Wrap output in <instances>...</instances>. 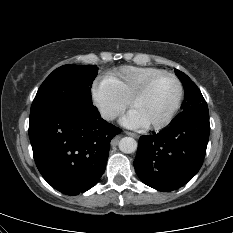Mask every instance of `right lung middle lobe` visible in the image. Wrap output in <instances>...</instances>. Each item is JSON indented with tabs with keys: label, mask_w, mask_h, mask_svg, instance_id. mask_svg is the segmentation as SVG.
<instances>
[{
	"label": "right lung middle lobe",
	"mask_w": 233,
	"mask_h": 233,
	"mask_svg": "<svg viewBox=\"0 0 233 233\" xmlns=\"http://www.w3.org/2000/svg\"><path fill=\"white\" fill-rule=\"evenodd\" d=\"M97 73L95 65H64L57 68L38 89L30 114L53 108L93 106L91 87Z\"/></svg>",
	"instance_id": "right-lung-middle-lobe-1"
}]
</instances>
